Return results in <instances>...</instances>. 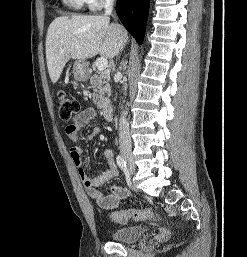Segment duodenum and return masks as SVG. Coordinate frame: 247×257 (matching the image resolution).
I'll use <instances>...</instances> for the list:
<instances>
[{"mask_svg": "<svg viewBox=\"0 0 247 257\" xmlns=\"http://www.w3.org/2000/svg\"><path fill=\"white\" fill-rule=\"evenodd\" d=\"M102 115L106 120H111L113 117V107L111 105H104Z\"/></svg>", "mask_w": 247, "mask_h": 257, "instance_id": "1", "label": "duodenum"}]
</instances>
